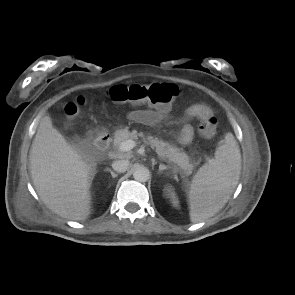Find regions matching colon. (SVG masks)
I'll return each instance as SVG.
<instances>
[{"label": "colon", "instance_id": "1", "mask_svg": "<svg viewBox=\"0 0 295 295\" xmlns=\"http://www.w3.org/2000/svg\"><path fill=\"white\" fill-rule=\"evenodd\" d=\"M181 95V89L170 83L116 85L105 91V96L115 103L147 104L160 110H168ZM86 103V99L78 97L68 103L65 113L75 116ZM199 131L205 138H213L217 132V120L210 116L202 120Z\"/></svg>", "mask_w": 295, "mask_h": 295}]
</instances>
